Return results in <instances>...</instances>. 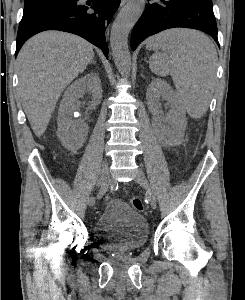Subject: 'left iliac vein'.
Listing matches in <instances>:
<instances>
[{"instance_id": "1", "label": "left iliac vein", "mask_w": 245, "mask_h": 300, "mask_svg": "<svg viewBox=\"0 0 245 300\" xmlns=\"http://www.w3.org/2000/svg\"><path fill=\"white\" fill-rule=\"evenodd\" d=\"M134 180L136 183L140 184L143 188H145L147 190L150 205H151L152 209H156V207H157L156 198H155L153 192L149 188V183H148V180H147L144 172L139 169L136 173Z\"/></svg>"}]
</instances>
